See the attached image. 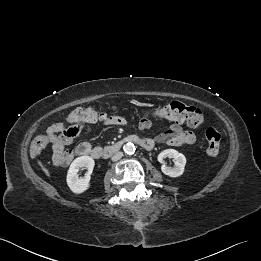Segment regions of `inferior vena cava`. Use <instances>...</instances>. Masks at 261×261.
Returning <instances> with one entry per match:
<instances>
[{"mask_svg": "<svg viewBox=\"0 0 261 261\" xmlns=\"http://www.w3.org/2000/svg\"><path fill=\"white\" fill-rule=\"evenodd\" d=\"M122 157H123V153L117 152L112 156L111 160L115 162V161H118L119 159H121Z\"/></svg>", "mask_w": 261, "mask_h": 261, "instance_id": "obj_1", "label": "inferior vena cava"}]
</instances>
